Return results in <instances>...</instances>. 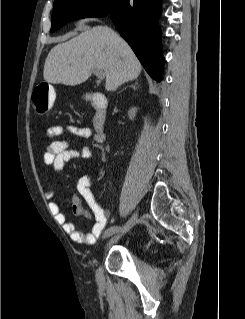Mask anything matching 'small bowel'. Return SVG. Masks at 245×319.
<instances>
[{
	"mask_svg": "<svg viewBox=\"0 0 245 319\" xmlns=\"http://www.w3.org/2000/svg\"><path fill=\"white\" fill-rule=\"evenodd\" d=\"M75 135L81 139H91L93 132L88 127H78L75 125H58L52 126L46 131L47 148L43 156L45 165L51 167L57 173H61L66 165L71 160H86L91 156L90 149L83 147L79 150L73 149L65 140H58L57 137L62 134ZM74 185L79 194L89 204L91 213L86 210L77 195L71 197L72 212L74 215L83 218L94 217V224L89 233H85L78 229L76 223L69 221L66 214L61 210L60 205L51 201L49 203L50 210L56 217L57 221L62 224L63 229L69 234L70 238L80 244L92 245L102 235L111 219V213L104 208L95 198L91 191V186L94 184V177L91 175L78 176L73 179ZM47 199H52L54 193L47 189L44 192Z\"/></svg>",
	"mask_w": 245,
	"mask_h": 319,
	"instance_id": "1",
	"label": "small bowel"
}]
</instances>
